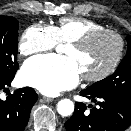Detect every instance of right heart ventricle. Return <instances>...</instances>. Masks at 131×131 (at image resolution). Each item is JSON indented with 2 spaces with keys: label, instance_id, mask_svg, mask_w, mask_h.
Returning <instances> with one entry per match:
<instances>
[{
  "label": "right heart ventricle",
  "instance_id": "e07e8e85",
  "mask_svg": "<svg viewBox=\"0 0 131 131\" xmlns=\"http://www.w3.org/2000/svg\"><path fill=\"white\" fill-rule=\"evenodd\" d=\"M53 27L61 43H69L90 31L104 28L102 24L84 17H65Z\"/></svg>",
  "mask_w": 131,
  "mask_h": 131
}]
</instances>
